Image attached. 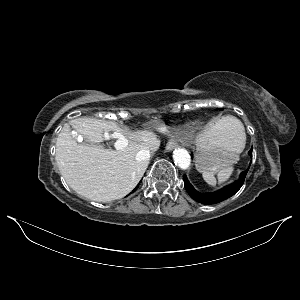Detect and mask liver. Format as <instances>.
Returning a JSON list of instances; mask_svg holds the SVG:
<instances>
[{
	"label": "liver",
	"instance_id": "obj_1",
	"mask_svg": "<svg viewBox=\"0 0 300 300\" xmlns=\"http://www.w3.org/2000/svg\"><path fill=\"white\" fill-rule=\"evenodd\" d=\"M70 125L90 142H102L113 132L124 136L128 145L123 149L111 150L79 144L66 124L56 141V162L68 185L81 196L97 202H110L130 193L148 165V162L137 161L136 154L144 148L153 152L156 135L147 130L130 133L114 122L92 118L74 119ZM222 132L220 125L209 128L199 139Z\"/></svg>",
	"mask_w": 300,
	"mask_h": 300
}]
</instances>
